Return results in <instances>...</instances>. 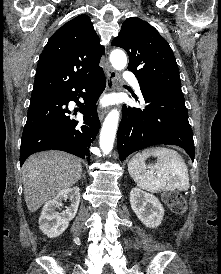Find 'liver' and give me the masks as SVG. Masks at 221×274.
<instances>
[{"label": "liver", "instance_id": "1", "mask_svg": "<svg viewBox=\"0 0 221 274\" xmlns=\"http://www.w3.org/2000/svg\"><path fill=\"white\" fill-rule=\"evenodd\" d=\"M82 175L81 160L60 151L40 152L23 165L24 198L30 212L75 185Z\"/></svg>", "mask_w": 221, "mask_h": 274}]
</instances>
